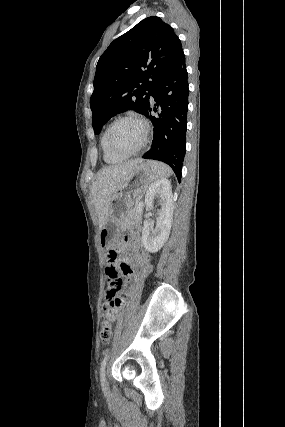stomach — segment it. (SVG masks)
I'll list each match as a JSON object with an SVG mask.
<instances>
[{
	"label": "stomach",
	"instance_id": "obj_1",
	"mask_svg": "<svg viewBox=\"0 0 285 427\" xmlns=\"http://www.w3.org/2000/svg\"><path fill=\"white\" fill-rule=\"evenodd\" d=\"M154 179L155 173L148 163H138L131 169L111 199L107 220L99 233L101 246L108 247L121 224L128 219L133 200L143 194Z\"/></svg>",
	"mask_w": 285,
	"mask_h": 427
}]
</instances>
